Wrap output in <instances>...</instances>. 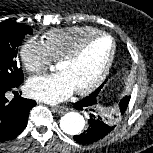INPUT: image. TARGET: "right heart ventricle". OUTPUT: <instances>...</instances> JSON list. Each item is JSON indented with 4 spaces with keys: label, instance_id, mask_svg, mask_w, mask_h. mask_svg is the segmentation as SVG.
Instances as JSON below:
<instances>
[{
    "label": "right heart ventricle",
    "instance_id": "obj_1",
    "mask_svg": "<svg viewBox=\"0 0 153 153\" xmlns=\"http://www.w3.org/2000/svg\"><path fill=\"white\" fill-rule=\"evenodd\" d=\"M101 31L91 26H73L53 29L44 36V43L52 57L59 60L74 50L86 38Z\"/></svg>",
    "mask_w": 153,
    "mask_h": 153
}]
</instances>
